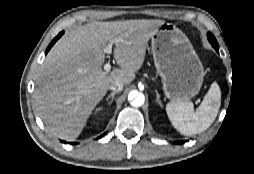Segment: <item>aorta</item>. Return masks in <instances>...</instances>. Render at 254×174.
I'll use <instances>...</instances> for the list:
<instances>
[{"label":"aorta","mask_w":254,"mask_h":174,"mask_svg":"<svg viewBox=\"0 0 254 174\" xmlns=\"http://www.w3.org/2000/svg\"><path fill=\"white\" fill-rule=\"evenodd\" d=\"M128 100L132 106L140 107L145 102V96L143 93L134 90L129 93Z\"/></svg>","instance_id":"1"}]
</instances>
